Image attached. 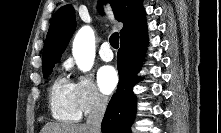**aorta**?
Masks as SVG:
<instances>
[{
	"label": "aorta",
	"instance_id": "obj_1",
	"mask_svg": "<svg viewBox=\"0 0 221 133\" xmlns=\"http://www.w3.org/2000/svg\"><path fill=\"white\" fill-rule=\"evenodd\" d=\"M78 68L83 71H89L95 59V35L89 26L82 27L76 34L72 48Z\"/></svg>",
	"mask_w": 221,
	"mask_h": 133
}]
</instances>
